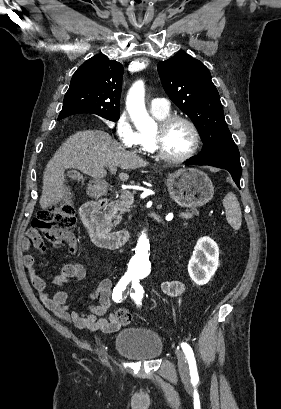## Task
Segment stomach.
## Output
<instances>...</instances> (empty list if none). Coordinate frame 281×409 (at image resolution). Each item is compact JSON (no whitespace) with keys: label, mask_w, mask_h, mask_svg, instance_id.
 <instances>
[{"label":"stomach","mask_w":281,"mask_h":409,"mask_svg":"<svg viewBox=\"0 0 281 409\" xmlns=\"http://www.w3.org/2000/svg\"><path fill=\"white\" fill-rule=\"evenodd\" d=\"M166 184L171 198L181 207H203L214 194L213 182L203 170L198 168H179L166 178ZM107 182L90 180L87 184V194L99 198L106 192Z\"/></svg>","instance_id":"0dacf381"}]
</instances>
